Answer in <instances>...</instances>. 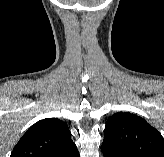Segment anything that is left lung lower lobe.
I'll return each instance as SVG.
<instances>
[{"label": "left lung lower lobe", "instance_id": "left-lung-lower-lobe-1", "mask_svg": "<svg viewBox=\"0 0 164 157\" xmlns=\"http://www.w3.org/2000/svg\"><path fill=\"white\" fill-rule=\"evenodd\" d=\"M102 152L104 155L103 157H124L119 151L106 142L102 143Z\"/></svg>", "mask_w": 164, "mask_h": 157}]
</instances>
